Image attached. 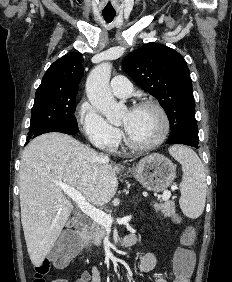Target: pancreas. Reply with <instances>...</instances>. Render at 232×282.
<instances>
[{"mask_svg":"<svg viewBox=\"0 0 232 282\" xmlns=\"http://www.w3.org/2000/svg\"><path fill=\"white\" fill-rule=\"evenodd\" d=\"M154 209L156 212L160 211L164 217H169L175 214V203L174 201H166L162 205H155ZM106 235V229L103 225L93 221L86 231L85 236L88 241L95 246H100L102 240Z\"/></svg>","mask_w":232,"mask_h":282,"instance_id":"cf45deb5","label":"pancreas"}]
</instances>
